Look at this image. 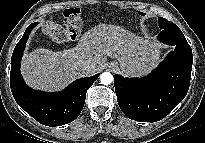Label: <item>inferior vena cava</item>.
I'll return each mask as SVG.
<instances>
[{"mask_svg":"<svg viewBox=\"0 0 205 143\" xmlns=\"http://www.w3.org/2000/svg\"><path fill=\"white\" fill-rule=\"evenodd\" d=\"M81 71L83 75H93L95 74V65L91 62H83L81 65Z\"/></svg>","mask_w":205,"mask_h":143,"instance_id":"obj_1","label":"inferior vena cava"}]
</instances>
